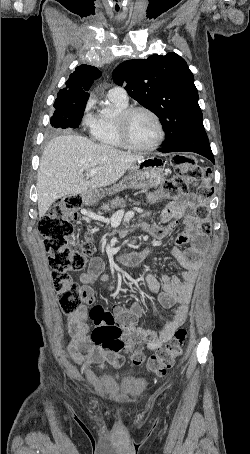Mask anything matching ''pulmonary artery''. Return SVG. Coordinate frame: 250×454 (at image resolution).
Returning <instances> with one entry per match:
<instances>
[{"instance_id": "obj_1", "label": "pulmonary artery", "mask_w": 250, "mask_h": 454, "mask_svg": "<svg viewBox=\"0 0 250 454\" xmlns=\"http://www.w3.org/2000/svg\"><path fill=\"white\" fill-rule=\"evenodd\" d=\"M109 99H114L122 103H128V95L123 87L115 86L108 91Z\"/></svg>"}]
</instances>
